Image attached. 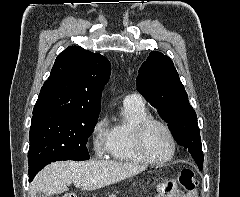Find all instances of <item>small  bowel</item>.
Masks as SVG:
<instances>
[{
    "mask_svg": "<svg viewBox=\"0 0 240 197\" xmlns=\"http://www.w3.org/2000/svg\"><path fill=\"white\" fill-rule=\"evenodd\" d=\"M163 196L164 195H162V197ZM164 197H197V194L195 191L183 193L179 190H173L171 191V193H169L168 195H165Z\"/></svg>",
    "mask_w": 240,
    "mask_h": 197,
    "instance_id": "obj_1",
    "label": "small bowel"
}]
</instances>
